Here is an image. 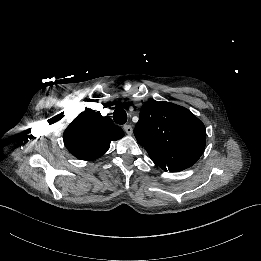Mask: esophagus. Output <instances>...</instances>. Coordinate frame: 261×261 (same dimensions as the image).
<instances>
[{
    "label": "esophagus",
    "mask_w": 261,
    "mask_h": 261,
    "mask_svg": "<svg viewBox=\"0 0 261 261\" xmlns=\"http://www.w3.org/2000/svg\"><path fill=\"white\" fill-rule=\"evenodd\" d=\"M123 128L128 135H131L133 133V128L131 125H124Z\"/></svg>",
    "instance_id": "obj_1"
}]
</instances>
